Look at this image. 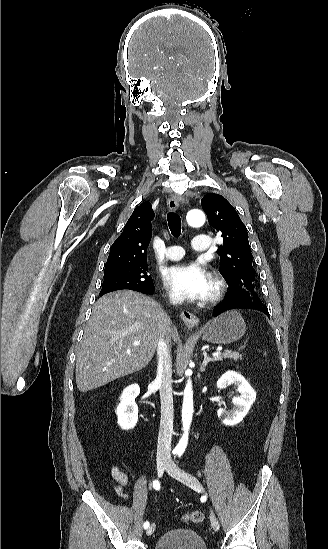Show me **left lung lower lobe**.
Instances as JSON below:
<instances>
[{"label": "left lung lower lobe", "mask_w": 328, "mask_h": 549, "mask_svg": "<svg viewBox=\"0 0 328 549\" xmlns=\"http://www.w3.org/2000/svg\"><path fill=\"white\" fill-rule=\"evenodd\" d=\"M252 309L269 315L268 308L261 300L240 299L237 297H226L225 300L214 308V317L231 309Z\"/></svg>", "instance_id": "0a47b994"}]
</instances>
